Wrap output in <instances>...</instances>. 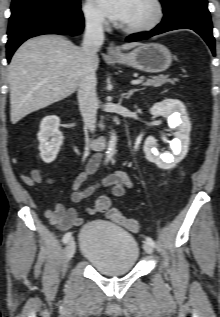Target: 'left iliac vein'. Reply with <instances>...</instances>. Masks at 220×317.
Returning <instances> with one entry per match:
<instances>
[{"mask_svg": "<svg viewBox=\"0 0 220 317\" xmlns=\"http://www.w3.org/2000/svg\"><path fill=\"white\" fill-rule=\"evenodd\" d=\"M143 248H144L146 253H148V254H152L153 253V247L146 241L143 244Z\"/></svg>", "mask_w": 220, "mask_h": 317, "instance_id": "obj_1", "label": "left iliac vein"}]
</instances>
